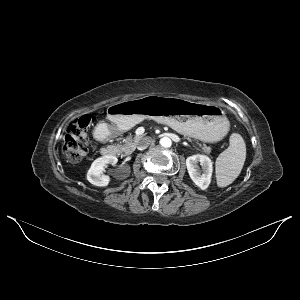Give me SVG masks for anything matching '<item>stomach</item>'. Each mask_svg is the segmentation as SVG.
<instances>
[{
  "instance_id": "1",
  "label": "stomach",
  "mask_w": 300,
  "mask_h": 300,
  "mask_svg": "<svg viewBox=\"0 0 300 300\" xmlns=\"http://www.w3.org/2000/svg\"><path fill=\"white\" fill-rule=\"evenodd\" d=\"M147 118L209 143L222 140L229 131V121L219 106L160 95L110 105L107 119L111 125L106 127L109 134L114 135L131 129Z\"/></svg>"
}]
</instances>
